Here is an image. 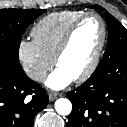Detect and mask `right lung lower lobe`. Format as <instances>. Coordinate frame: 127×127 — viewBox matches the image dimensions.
Here are the masks:
<instances>
[{
	"mask_svg": "<svg viewBox=\"0 0 127 127\" xmlns=\"http://www.w3.org/2000/svg\"><path fill=\"white\" fill-rule=\"evenodd\" d=\"M47 104L45 90L21 65L0 56V127H33L35 115Z\"/></svg>",
	"mask_w": 127,
	"mask_h": 127,
	"instance_id": "1",
	"label": "right lung lower lobe"
}]
</instances>
